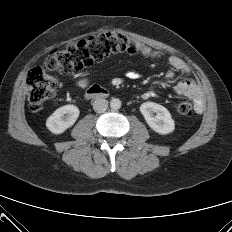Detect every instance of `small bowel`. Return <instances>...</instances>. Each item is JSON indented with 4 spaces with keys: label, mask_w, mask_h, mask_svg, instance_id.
<instances>
[{
    "label": "small bowel",
    "mask_w": 232,
    "mask_h": 232,
    "mask_svg": "<svg viewBox=\"0 0 232 232\" xmlns=\"http://www.w3.org/2000/svg\"><path fill=\"white\" fill-rule=\"evenodd\" d=\"M169 70L166 73L165 81H170L174 79L177 73L185 76L175 87L177 94L191 99L196 107L197 112H201L203 109V94L199 85L191 77V70L188 64L178 56H170L168 58ZM129 79L135 80L140 77V73L137 70H129L126 73ZM75 87L79 89H84L89 86V80L86 77H79L74 82ZM156 96V91L154 88L150 89L144 94L145 98H150Z\"/></svg>",
    "instance_id": "obj_1"
}]
</instances>
